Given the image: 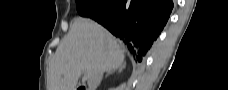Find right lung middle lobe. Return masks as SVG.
Returning <instances> with one entry per match:
<instances>
[{"mask_svg":"<svg viewBox=\"0 0 228 90\" xmlns=\"http://www.w3.org/2000/svg\"><path fill=\"white\" fill-rule=\"evenodd\" d=\"M107 0H76L77 11L83 17H95L100 14Z\"/></svg>","mask_w":228,"mask_h":90,"instance_id":"1","label":"right lung middle lobe"}]
</instances>
